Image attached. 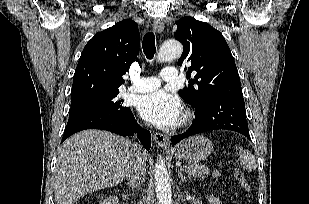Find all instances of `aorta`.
I'll list each match as a JSON object with an SVG mask.
<instances>
[{
    "label": "aorta",
    "instance_id": "762f6f07",
    "mask_svg": "<svg viewBox=\"0 0 309 204\" xmlns=\"http://www.w3.org/2000/svg\"><path fill=\"white\" fill-rule=\"evenodd\" d=\"M183 51L182 44L175 40L165 41L157 55L159 62H167L178 58ZM155 188L160 204H172L171 184L163 159L155 164Z\"/></svg>",
    "mask_w": 309,
    "mask_h": 204
}]
</instances>
